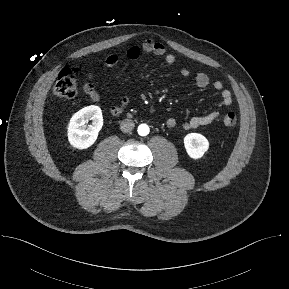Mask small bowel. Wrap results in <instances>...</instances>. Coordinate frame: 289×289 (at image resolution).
Here are the masks:
<instances>
[{"instance_id":"small-bowel-1","label":"small bowel","mask_w":289,"mask_h":289,"mask_svg":"<svg viewBox=\"0 0 289 289\" xmlns=\"http://www.w3.org/2000/svg\"><path fill=\"white\" fill-rule=\"evenodd\" d=\"M141 53L153 54L155 56L162 57L165 63L168 65H173L176 62V57L173 54L168 53L165 46L162 43L151 39L145 40L140 46H131L126 50L125 56L130 60H136L137 58H139ZM119 59L120 57L118 54L115 53L109 54L105 59V67L107 68L114 67L119 62ZM180 74L183 77H188L191 75V71L186 67H182L180 69ZM93 80L94 74L89 73L87 75L86 82L83 85V90L93 102H98L100 100V95L96 90ZM194 81L199 88H207L208 86L211 85L216 91H218L220 95V102H219L220 106H230L232 104L233 102L232 94L228 89L224 88L223 83L221 81L217 80L211 82L209 76L202 71H198L194 74ZM127 103L128 98L123 97V99L119 103L111 105L109 107V112L115 116L119 115L123 112ZM219 116L220 112L215 110L206 115L192 117L183 124H179L175 119L171 118L168 119L167 126L171 129H175L178 127H181L186 130L196 129L211 124L216 119H218Z\"/></svg>"}]
</instances>
